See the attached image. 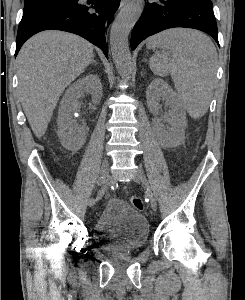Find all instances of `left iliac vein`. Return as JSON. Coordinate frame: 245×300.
<instances>
[{"label": "left iliac vein", "mask_w": 245, "mask_h": 300, "mask_svg": "<svg viewBox=\"0 0 245 300\" xmlns=\"http://www.w3.org/2000/svg\"><path fill=\"white\" fill-rule=\"evenodd\" d=\"M133 180L135 182H137L138 184H141L144 187H148V182H147V179L145 177V174L140 168H137L136 173L133 177ZM149 198H150V206H151L152 210L156 211L157 202H156V199H155V197L153 196V194L151 192H149Z\"/></svg>", "instance_id": "obj_1"}]
</instances>
